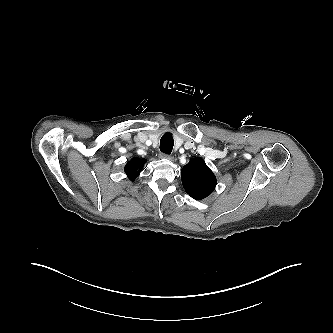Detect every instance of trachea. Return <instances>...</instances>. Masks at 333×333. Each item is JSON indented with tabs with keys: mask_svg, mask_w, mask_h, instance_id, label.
Here are the masks:
<instances>
[{
	"mask_svg": "<svg viewBox=\"0 0 333 333\" xmlns=\"http://www.w3.org/2000/svg\"><path fill=\"white\" fill-rule=\"evenodd\" d=\"M174 145L173 137L170 133H165L160 140V150L165 154L172 152Z\"/></svg>",
	"mask_w": 333,
	"mask_h": 333,
	"instance_id": "obj_1",
	"label": "trachea"
}]
</instances>
